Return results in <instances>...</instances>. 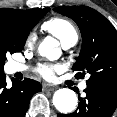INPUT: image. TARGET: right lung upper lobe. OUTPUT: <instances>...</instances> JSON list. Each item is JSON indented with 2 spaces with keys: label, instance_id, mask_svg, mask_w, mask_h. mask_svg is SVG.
<instances>
[{
  "label": "right lung upper lobe",
  "instance_id": "cb5924a9",
  "mask_svg": "<svg viewBox=\"0 0 117 117\" xmlns=\"http://www.w3.org/2000/svg\"><path fill=\"white\" fill-rule=\"evenodd\" d=\"M39 8L30 10L1 9L0 17L15 19L22 22H30Z\"/></svg>",
  "mask_w": 117,
  "mask_h": 117
}]
</instances>
